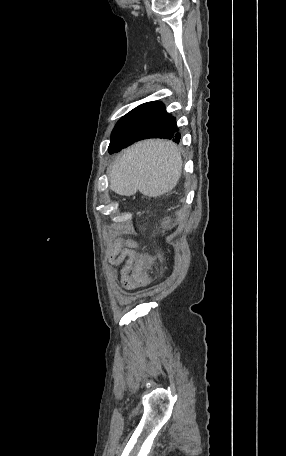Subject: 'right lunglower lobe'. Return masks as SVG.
<instances>
[{
  "label": "right lung lower lobe",
  "mask_w": 286,
  "mask_h": 456,
  "mask_svg": "<svg viewBox=\"0 0 286 456\" xmlns=\"http://www.w3.org/2000/svg\"><path fill=\"white\" fill-rule=\"evenodd\" d=\"M122 121L126 138L110 154L141 139L165 138L178 143L181 138L175 117L169 115L164 104L159 101L144 103L136 107L127 113Z\"/></svg>",
  "instance_id": "obj_1"
}]
</instances>
